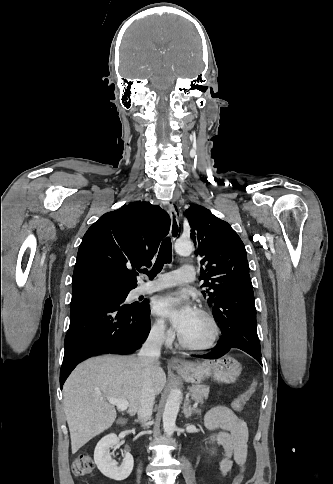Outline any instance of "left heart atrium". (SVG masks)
<instances>
[{"label": "left heart atrium", "mask_w": 333, "mask_h": 484, "mask_svg": "<svg viewBox=\"0 0 333 484\" xmlns=\"http://www.w3.org/2000/svg\"><path fill=\"white\" fill-rule=\"evenodd\" d=\"M153 312L168 319L173 327L181 333L196 310L189 302L186 294L173 292L158 298L154 304Z\"/></svg>", "instance_id": "1"}]
</instances>
